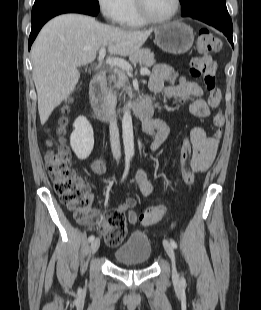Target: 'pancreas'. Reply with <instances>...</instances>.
Returning <instances> with one entry per match:
<instances>
[{
	"label": "pancreas",
	"instance_id": "obj_1",
	"mask_svg": "<svg viewBox=\"0 0 261 310\" xmlns=\"http://www.w3.org/2000/svg\"><path fill=\"white\" fill-rule=\"evenodd\" d=\"M130 61L132 63H138L140 62L145 67H150L155 64L154 60V54L148 50V49H142L137 51L135 54L130 55ZM111 80L115 83L116 87L118 88H124L126 90L129 97H132V91L130 87L128 86V77L126 76L124 70L119 69L114 72L113 75H111ZM157 76L155 74H152L151 80H155Z\"/></svg>",
	"mask_w": 261,
	"mask_h": 310
}]
</instances>
